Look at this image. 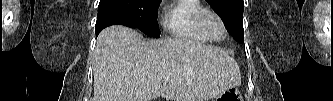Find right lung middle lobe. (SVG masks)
Wrapping results in <instances>:
<instances>
[{
	"mask_svg": "<svg viewBox=\"0 0 333 101\" xmlns=\"http://www.w3.org/2000/svg\"><path fill=\"white\" fill-rule=\"evenodd\" d=\"M111 1L118 5L130 19L131 27L138 28L144 34L159 38L157 9L162 0H100L99 4Z\"/></svg>",
	"mask_w": 333,
	"mask_h": 101,
	"instance_id": "1",
	"label": "right lung middle lobe"
}]
</instances>
